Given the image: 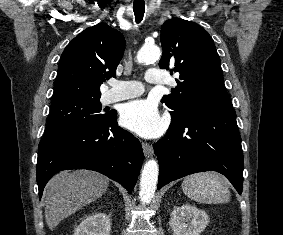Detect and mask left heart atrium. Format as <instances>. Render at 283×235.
<instances>
[{
    "instance_id": "39dd6f15",
    "label": "left heart atrium",
    "mask_w": 283,
    "mask_h": 235,
    "mask_svg": "<svg viewBox=\"0 0 283 235\" xmlns=\"http://www.w3.org/2000/svg\"><path fill=\"white\" fill-rule=\"evenodd\" d=\"M120 119L126 128L144 138L157 137L165 128L164 119L156 105L149 100H135L125 104Z\"/></svg>"
}]
</instances>
